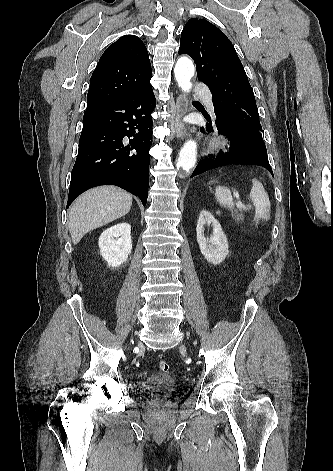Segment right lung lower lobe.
Instances as JSON below:
<instances>
[{
	"label": "right lung lower lobe",
	"instance_id": "1",
	"mask_svg": "<svg viewBox=\"0 0 333 471\" xmlns=\"http://www.w3.org/2000/svg\"><path fill=\"white\" fill-rule=\"evenodd\" d=\"M154 107L149 81L122 98L86 110L67 207L84 191L105 184L127 190L146 205Z\"/></svg>",
	"mask_w": 333,
	"mask_h": 471
}]
</instances>
